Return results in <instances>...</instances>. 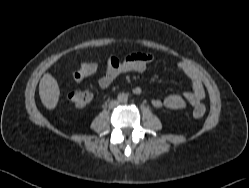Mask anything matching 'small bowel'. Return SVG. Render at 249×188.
Here are the masks:
<instances>
[{"instance_id":"1","label":"small bowel","mask_w":249,"mask_h":188,"mask_svg":"<svg viewBox=\"0 0 249 188\" xmlns=\"http://www.w3.org/2000/svg\"><path fill=\"white\" fill-rule=\"evenodd\" d=\"M153 61V56L145 53H132L123 60L111 57L107 61L103 75L99 78V85L101 88H107L119 75L126 72L143 73ZM178 67L188 77L192 89L183 94L168 95L163 99L153 98L151 104L154 107L181 110L187 105L196 106L204 99L205 89L197 72L185 63H179Z\"/></svg>"}]
</instances>
